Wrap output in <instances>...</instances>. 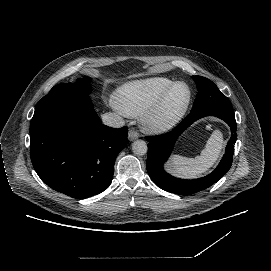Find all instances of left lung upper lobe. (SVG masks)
Returning <instances> with one entry per match:
<instances>
[{
  "label": "left lung upper lobe",
  "instance_id": "left-lung-upper-lobe-1",
  "mask_svg": "<svg viewBox=\"0 0 271 271\" xmlns=\"http://www.w3.org/2000/svg\"><path fill=\"white\" fill-rule=\"evenodd\" d=\"M192 79L198 93L190 113L204 110L234 112L229 100L212 81L202 76H192Z\"/></svg>",
  "mask_w": 271,
  "mask_h": 271
}]
</instances>
